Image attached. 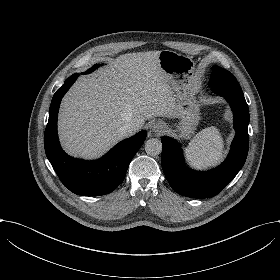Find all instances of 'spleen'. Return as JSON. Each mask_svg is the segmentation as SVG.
Segmentation results:
<instances>
[{
  "instance_id": "3e777b00",
  "label": "spleen",
  "mask_w": 280,
  "mask_h": 280,
  "mask_svg": "<svg viewBox=\"0 0 280 280\" xmlns=\"http://www.w3.org/2000/svg\"><path fill=\"white\" fill-rule=\"evenodd\" d=\"M224 142L219 130L212 126L203 129L185 149L190 165L197 169L215 166L224 158Z\"/></svg>"
}]
</instances>
